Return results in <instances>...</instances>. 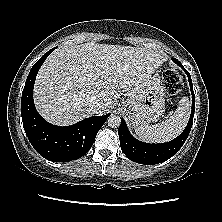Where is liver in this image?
Wrapping results in <instances>:
<instances>
[{
    "instance_id": "obj_1",
    "label": "liver",
    "mask_w": 222,
    "mask_h": 222,
    "mask_svg": "<svg viewBox=\"0 0 222 222\" xmlns=\"http://www.w3.org/2000/svg\"><path fill=\"white\" fill-rule=\"evenodd\" d=\"M158 51L120 45L62 46L41 66L34 86V102L52 124L67 126L110 110L121 95L133 97L167 60ZM95 99L94 113L86 103Z\"/></svg>"
}]
</instances>
